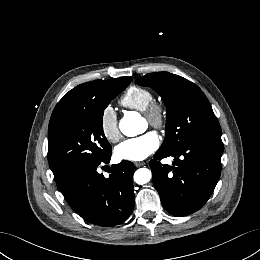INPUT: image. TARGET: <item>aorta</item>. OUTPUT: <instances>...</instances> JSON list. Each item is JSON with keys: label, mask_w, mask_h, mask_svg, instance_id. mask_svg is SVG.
<instances>
[{"label": "aorta", "mask_w": 260, "mask_h": 260, "mask_svg": "<svg viewBox=\"0 0 260 260\" xmlns=\"http://www.w3.org/2000/svg\"><path fill=\"white\" fill-rule=\"evenodd\" d=\"M119 128L120 131L128 137L136 136L143 131L139 120L131 116H124L119 122ZM151 177L152 173L147 168H140L134 173V181L139 185L148 183Z\"/></svg>", "instance_id": "aorta-1"}]
</instances>
